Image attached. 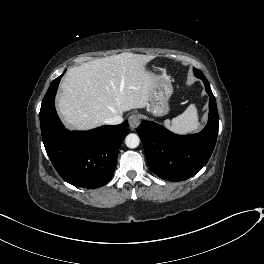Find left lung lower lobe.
<instances>
[{
    "label": "left lung lower lobe",
    "mask_w": 264,
    "mask_h": 264,
    "mask_svg": "<svg viewBox=\"0 0 264 264\" xmlns=\"http://www.w3.org/2000/svg\"><path fill=\"white\" fill-rule=\"evenodd\" d=\"M195 76L204 82L209 94V120L200 133L180 136L146 120L137 128L150 169L167 181H182L195 175L208 162L217 140L219 117L215 97L206 77Z\"/></svg>",
    "instance_id": "1"
}]
</instances>
